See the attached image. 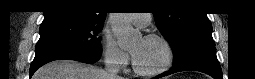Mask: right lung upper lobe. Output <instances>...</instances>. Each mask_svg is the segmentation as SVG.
<instances>
[{"mask_svg": "<svg viewBox=\"0 0 255 79\" xmlns=\"http://www.w3.org/2000/svg\"><path fill=\"white\" fill-rule=\"evenodd\" d=\"M99 2V0H52L44 12L43 21L72 20L103 24L106 12L100 7Z\"/></svg>", "mask_w": 255, "mask_h": 79, "instance_id": "obj_1", "label": "right lung upper lobe"}]
</instances>
